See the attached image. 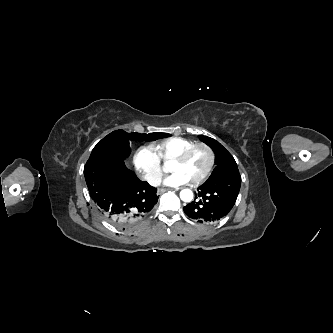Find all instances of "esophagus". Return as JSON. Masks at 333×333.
Listing matches in <instances>:
<instances>
[{"label":"esophagus","mask_w":333,"mask_h":333,"mask_svg":"<svg viewBox=\"0 0 333 333\" xmlns=\"http://www.w3.org/2000/svg\"><path fill=\"white\" fill-rule=\"evenodd\" d=\"M168 190H170V189L161 188V189L158 190L157 194H158V195H161V194H163L164 192H166V191H168Z\"/></svg>","instance_id":"1"}]
</instances>
